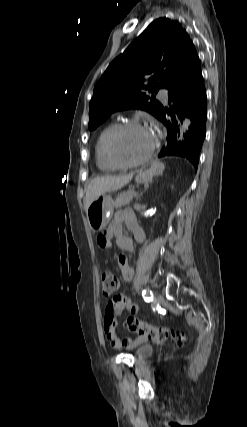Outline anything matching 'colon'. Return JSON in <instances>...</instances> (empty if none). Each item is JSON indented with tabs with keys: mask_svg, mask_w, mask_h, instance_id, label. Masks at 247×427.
Listing matches in <instances>:
<instances>
[{
	"mask_svg": "<svg viewBox=\"0 0 247 427\" xmlns=\"http://www.w3.org/2000/svg\"><path fill=\"white\" fill-rule=\"evenodd\" d=\"M119 287V281L112 272H104L102 275V292L105 295L114 293ZM127 329L139 335L145 340L167 341L174 340L178 344H183L187 337L185 333L175 331L168 327H160L147 324L136 317H129L125 321Z\"/></svg>",
	"mask_w": 247,
	"mask_h": 427,
	"instance_id": "obj_1",
	"label": "colon"
}]
</instances>
